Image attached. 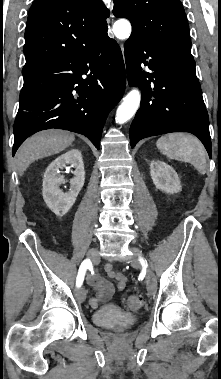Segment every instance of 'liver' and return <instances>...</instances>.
Returning <instances> with one entry per match:
<instances>
[{
  "mask_svg": "<svg viewBox=\"0 0 221 379\" xmlns=\"http://www.w3.org/2000/svg\"><path fill=\"white\" fill-rule=\"evenodd\" d=\"M74 140V134L54 129L41 131L28 138L16 153V164L20 176L35 160L63 151Z\"/></svg>",
  "mask_w": 221,
  "mask_h": 379,
  "instance_id": "6515ba94",
  "label": "liver"
}]
</instances>
